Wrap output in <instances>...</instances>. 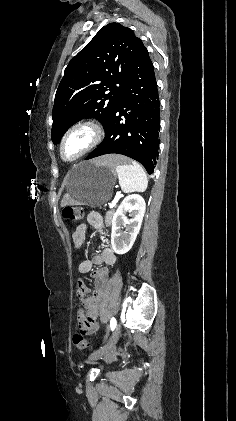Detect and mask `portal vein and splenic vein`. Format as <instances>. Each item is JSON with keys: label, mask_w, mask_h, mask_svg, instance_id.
Returning a JSON list of instances; mask_svg holds the SVG:
<instances>
[{"label": "portal vein and splenic vein", "mask_w": 236, "mask_h": 421, "mask_svg": "<svg viewBox=\"0 0 236 421\" xmlns=\"http://www.w3.org/2000/svg\"><path fill=\"white\" fill-rule=\"evenodd\" d=\"M119 198H120V192H116V196L114 200H112L109 204L110 208H113V206L116 205V202H118Z\"/></svg>", "instance_id": "1"}]
</instances>
